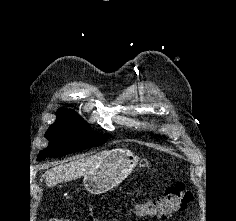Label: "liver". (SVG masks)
<instances>
[{
    "mask_svg": "<svg viewBox=\"0 0 236 221\" xmlns=\"http://www.w3.org/2000/svg\"><path fill=\"white\" fill-rule=\"evenodd\" d=\"M109 153L110 151L105 150L92 156L60 164L47 170L42 177L45 178L49 187L75 180L92 172Z\"/></svg>",
    "mask_w": 236,
    "mask_h": 221,
    "instance_id": "liver-1",
    "label": "liver"
}]
</instances>
